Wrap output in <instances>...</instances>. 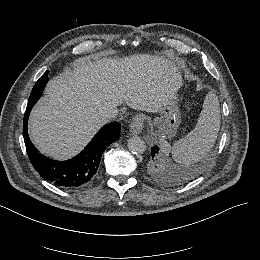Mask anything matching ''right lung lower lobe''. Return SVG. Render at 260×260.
Instances as JSON below:
<instances>
[{
    "label": "right lung lower lobe",
    "instance_id": "1",
    "mask_svg": "<svg viewBox=\"0 0 260 260\" xmlns=\"http://www.w3.org/2000/svg\"><path fill=\"white\" fill-rule=\"evenodd\" d=\"M47 82V73H44L35 84L26 108L23 136L27 154L35 170L45 180L63 189H75L94 179L104 150L119 138L120 124L112 122L104 126L85 147L84 151L70 160L59 162L43 156L29 139L27 123L29 113L40 98Z\"/></svg>",
    "mask_w": 260,
    "mask_h": 260
}]
</instances>
